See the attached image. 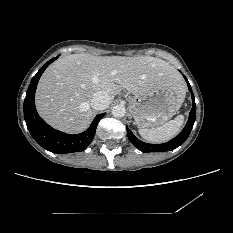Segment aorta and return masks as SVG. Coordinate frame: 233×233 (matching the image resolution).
I'll return each mask as SVG.
<instances>
[{"label": "aorta", "mask_w": 233, "mask_h": 233, "mask_svg": "<svg viewBox=\"0 0 233 233\" xmlns=\"http://www.w3.org/2000/svg\"><path fill=\"white\" fill-rule=\"evenodd\" d=\"M126 114V108L123 105H116L112 108V115L117 118L124 117Z\"/></svg>", "instance_id": "aorta-1"}]
</instances>
